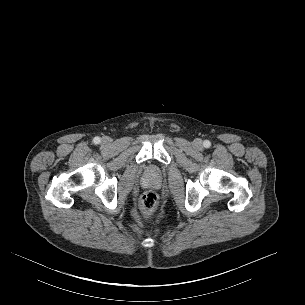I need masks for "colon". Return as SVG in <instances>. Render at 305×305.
Listing matches in <instances>:
<instances>
[{
  "mask_svg": "<svg viewBox=\"0 0 305 305\" xmlns=\"http://www.w3.org/2000/svg\"><path fill=\"white\" fill-rule=\"evenodd\" d=\"M158 203V196L153 191H148L142 195L139 201L140 212L143 217H149L155 210Z\"/></svg>",
  "mask_w": 305,
  "mask_h": 305,
  "instance_id": "obj_1",
  "label": "colon"
}]
</instances>
